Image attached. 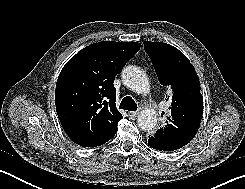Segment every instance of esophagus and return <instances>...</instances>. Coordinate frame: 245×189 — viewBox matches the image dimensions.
I'll return each instance as SVG.
<instances>
[{"label": "esophagus", "instance_id": "obj_1", "mask_svg": "<svg viewBox=\"0 0 245 189\" xmlns=\"http://www.w3.org/2000/svg\"><path fill=\"white\" fill-rule=\"evenodd\" d=\"M138 114H139V111H132V112H129V116L132 117V118L137 117Z\"/></svg>", "mask_w": 245, "mask_h": 189}]
</instances>
